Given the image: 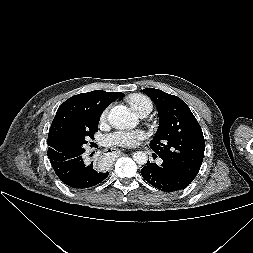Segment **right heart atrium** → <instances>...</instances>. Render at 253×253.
<instances>
[{"mask_svg":"<svg viewBox=\"0 0 253 253\" xmlns=\"http://www.w3.org/2000/svg\"><path fill=\"white\" fill-rule=\"evenodd\" d=\"M106 114H107L106 111H104V112L101 114V117H100L101 121L104 120V119L106 118Z\"/></svg>","mask_w":253,"mask_h":253,"instance_id":"obj_1","label":"right heart atrium"}]
</instances>
